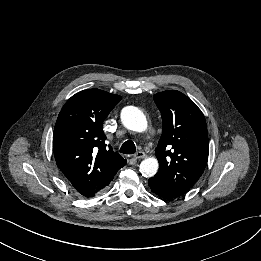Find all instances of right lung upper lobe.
<instances>
[{"instance_id":"cb5924a9","label":"right lung upper lobe","mask_w":261,"mask_h":261,"mask_svg":"<svg viewBox=\"0 0 261 261\" xmlns=\"http://www.w3.org/2000/svg\"><path fill=\"white\" fill-rule=\"evenodd\" d=\"M121 97L99 89L76 93L61 109L53 133L57 166L84 197H94L126 164L106 149L102 123Z\"/></svg>"}]
</instances>
